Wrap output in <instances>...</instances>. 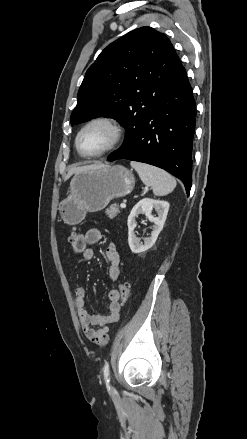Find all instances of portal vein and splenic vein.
Instances as JSON below:
<instances>
[{
    "mask_svg": "<svg viewBox=\"0 0 247 439\" xmlns=\"http://www.w3.org/2000/svg\"><path fill=\"white\" fill-rule=\"evenodd\" d=\"M120 207H121V208H126V203H125V202H122V203L120 204Z\"/></svg>",
    "mask_w": 247,
    "mask_h": 439,
    "instance_id": "1",
    "label": "portal vein and splenic vein"
}]
</instances>
